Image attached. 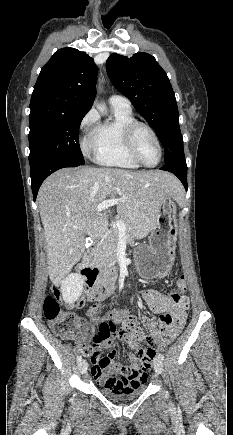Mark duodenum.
Wrapping results in <instances>:
<instances>
[{"label":"duodenum","instance_id":"410a0bca","mask_svg":"<svg viewBox=\"0 0 233 435\" xmlns=\"http://www.w3.org/2000/svg\"><path fill=\"white\" fill-rule=\"evenodd\" d=\"M101 246V241L93 244L84 254L78 271L85 278L86 298L88 301H100L105 299L110 293V285L119 274L118 270L113 269L102 273L100 269L92 264L94 253Z\"/></svg>","mask_w":233,"mask_h":435}]
</instances>
